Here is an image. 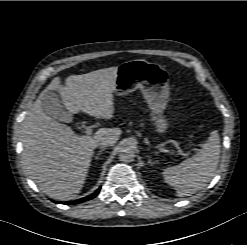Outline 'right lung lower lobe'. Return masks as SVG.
Returning a JSON list of instances; mask_svg holds the SVG:
<instances>
[{
  "instance_id": "98d812e1",
  "label": "right lung lower lobe",
  "mask_w": 247,
  "mask_h": 245,
  "mask_svg": "<svg viewBox=\"0 0 247 245\" xmlns=\"http://www.w3.org/2000/svg\"><path fill=\"white\" fill-rule=\"evenodd\" d=\"M99 192H100V188L97 189L93 194H91V195H89L87 197L81 198L79 200L69 201V202H55V203L69 204V205L77 204V203L84 202V201H87V200H90V199L94 198Z\"/></svg>"
}]
</instances>
